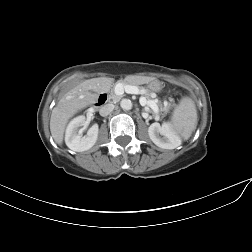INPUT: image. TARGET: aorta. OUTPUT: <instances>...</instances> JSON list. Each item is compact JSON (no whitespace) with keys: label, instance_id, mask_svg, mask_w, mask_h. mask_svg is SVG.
<instances>
[{"label":"aorta","instance_id":"obj_1","mask_svg":"<svg viewBox=\"0 0 252 252\" xmlns=\"http://www.w3.org/2000/svg\"><path fill=\"white\" fill-rule=\"evenodd\" d=\"M120 106L123 110H131L133 104L129 99H122L120 102Z\"/></svg>","mask_w":252,"mask_h":252}]
</instances>
